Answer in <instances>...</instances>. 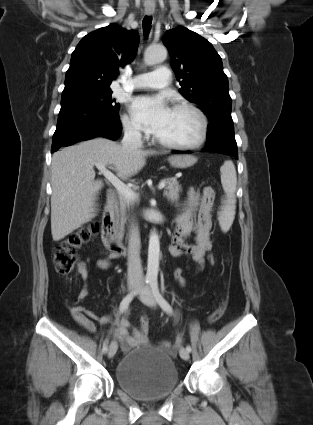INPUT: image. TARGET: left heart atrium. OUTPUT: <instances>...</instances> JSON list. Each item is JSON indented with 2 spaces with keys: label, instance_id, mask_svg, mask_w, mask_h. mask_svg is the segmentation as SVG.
I'll list each match as a JSON object with an SVG mask.
<instances>
[{
  "label": "left heart atrium",
  "instance_id": "left-heart-atrium-1",
  "mask_svg": "<svg viewBox=\"0 0 313 425\" xmlns=\"http://www.w3.org/2000/svg\"><path fill=\"white\" fill-rule=\"evenodd\" d=\"M171 109L165 99L137 97L132 103V113L137 123L147 132L158 134L167 122Z\"/></svg>",
  "mask_w": 313,
  "mask_h": 425
}]
</instances>
